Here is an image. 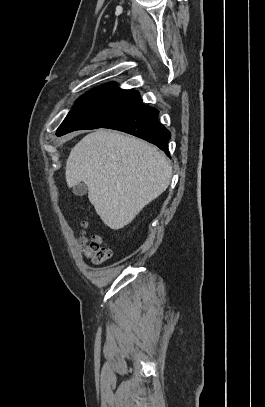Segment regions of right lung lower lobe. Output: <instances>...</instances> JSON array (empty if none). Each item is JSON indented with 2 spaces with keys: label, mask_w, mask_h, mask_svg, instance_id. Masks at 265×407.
<instances>
[{
  "label": "right lung lower lobe",
  "mask_w": 265,
  "mask_h": 407,
  "mask_svg": "<svg viewBox=\"0 0 265 407\" xmlns=\"http://www.w3.org/2000/svg\"><path fill=\"white\" fill-rule=\"evenodd\" d=\"M158 110L141 105L103 128L123 131L155 144L167 155L170 132L158 121Z\"/></svg>",
  "instance_id": "right-lung-lower-lobe-1"
}]
</instances>
